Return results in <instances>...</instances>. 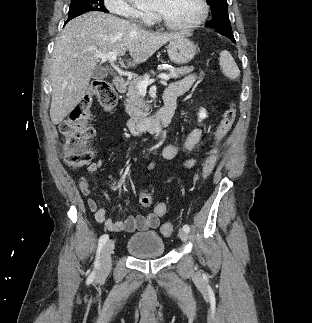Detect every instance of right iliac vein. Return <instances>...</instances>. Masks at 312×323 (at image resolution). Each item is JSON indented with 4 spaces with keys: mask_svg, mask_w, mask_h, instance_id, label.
Instances as JSON below:
<instances>
[{
    "mask_svg": "<svg viewBox=\"0 0 312 323\" xmlns=\"http://www.w3.org/2000/svg\"><path fill=\"white\" fill-rule=\"evenodd\" d=\"M115 243L113 240H108L104 246L102 256H101V265L98 271V277L105 276L111 267V254L114 250Z\"/></svg>",
    "mask_w": 312,
    "mask_h": 323,
    "instance_id": "right-iliac-vein-1",
    "label": "right iliac vein"
}]
</instances>
